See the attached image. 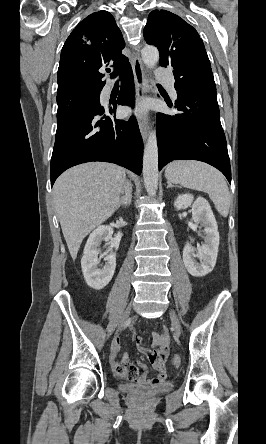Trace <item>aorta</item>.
Listing matches in <instances>:
<instances>
[{"label":"aorta","instance_id":"762f6f07","mask_svg":"<svg viewBox=\"0 0 266 444\" xmlns=\"http://www.w3.org/2000/svg\"><path fill=\"white\" fill-rule=\"evenodd\" d=\"M142 60L148 68H153L159 61L156 47L147 45L141 52ZM143 179L148 195L154 196L158 188V145L156 132H150L143 154Z\"/></svg>","mask_w":266,"mask_h":444}]
</instances>
